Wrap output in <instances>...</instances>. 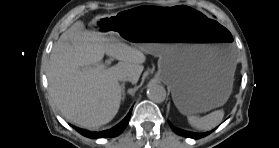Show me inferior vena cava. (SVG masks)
Here are the masks:
<instances>
[{"mask_svg": "<svg viewBox=\"0 0 279 148\" xmlns=\"http://www.w3.org/2000/svg\"><path fill=\"white\" fill-rule=\"evenodd\" d=\"M119 81H129V78L126 76H120Z\"/></svg>", "mask_w": 279, "mask_h": 148, "instance_id": "1", "label": "inferior vena cava"}]
</instances>
